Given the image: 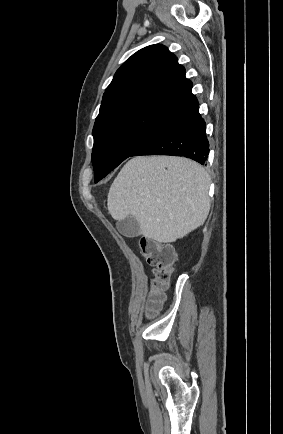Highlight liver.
Masks as SVG:
<instances>
[{
  "mask_svg": "<svg viewBox=\"0 0 283 434\" xmlns=\"http://www.w3.org/2000/svg\"><path fill=\"white\" fill-rule=\"evenodd\" d=\"M209 186L208 173L190 159L134 157L113 181L107 207L115 220L134 217L145 238L171 243L205 222Z\"/></svg>",
  "mask_w": 283,
  "mask_h": 434,
  "instance_id": "6515ba94",
  "label": "liver"
}]
</instances>
